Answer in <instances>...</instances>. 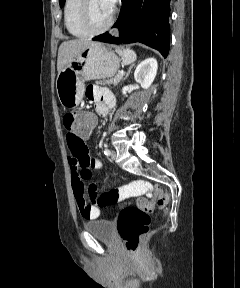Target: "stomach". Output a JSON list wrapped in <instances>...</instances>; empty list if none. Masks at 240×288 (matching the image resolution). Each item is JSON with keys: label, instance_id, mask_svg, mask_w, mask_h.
<instances>
[{"label": "stomach", "instance_id": "obj_1", "mask_svg": "<svg viewBox=\"0 0 240 288\" xmlns=\"http://www.w3.org/2000/svg\"><path fill=\"white\" fill-rule=\"evenodd\" d=\"M120 67L118 56L104 44L93 42L74 57L58 74L56 91L64 108L79 105L84 94V82L114 76Z\"/></svg>", "mask_w": 240, "mask_h": 288}]
</instances>
